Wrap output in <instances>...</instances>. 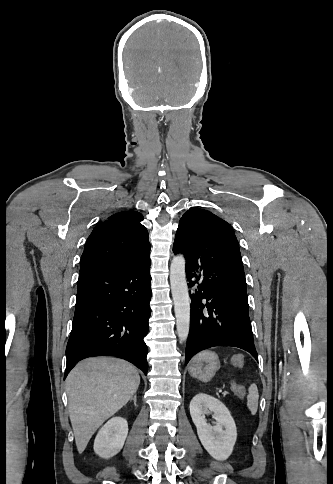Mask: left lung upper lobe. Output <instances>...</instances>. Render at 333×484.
I'll return each instance as SVG.
<instances>
[{"label":"left lung upper lobe","instance_id":"obj_1","mask_svg":"<svg viewBox=\"0 0 333 484\" xmlns=\"http://www.w3.org/2000/svg\"><path fill=\"white\" fill-rule=\"evenodd\" d=\"M181 223L191 224L197 231L228 230L234 234L233 228L225 220L209 211L196 207L185 212L179 225Z\"/></svg>","mask_w":333,"mask_h":484}]
</instances>
